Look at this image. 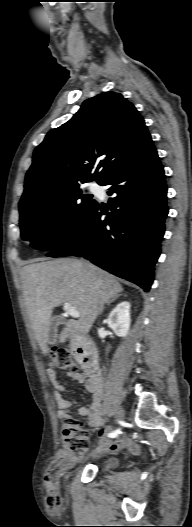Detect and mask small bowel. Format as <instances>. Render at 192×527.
I'll return each mask as SVG.
<instances>
[{"label":"small bowel","instance_id":"c3829d8e","mask_svg":"<svg viewBox=\"0 0 192 527\" xmlns=\"http://www.w3.org/2000/svg\"><path fill=\"white\" fill-rule=\"evenodd\" d=\"M48 379L56 389L55 399L58 405V417L60 419L72 418L71 407L75 403L73 399H65L62 392L66 391V388L59 382L57 371L54 368H49L47 371ZM70 380L75 383L84 384L88 392L92 394V401L88 407H81L79 414L87 417L88 424L94 429L100 428L105 420L103 417L102 400L104 398V380L100 375H94L89 373H69ZM109 429L101 430L99 435L104 436V433ZM127 449L133 454H137L140 451V447L135 442L128 440L125 437L120 438L117 441L104 440L102 446L99 449V453L105 451H120Z\"/></svg>","mask_w":192,"mask_h":527}]
</instances>
